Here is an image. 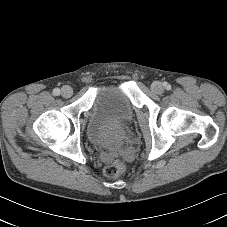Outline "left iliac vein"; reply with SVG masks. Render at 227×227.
Here are the masks:
<instances>
[{
	"instance_id": "left-iliac-vein-1",
	"label": "left iliac vein",
	"mask_w": 227,
	"mask_h": 227,
	"mask_svg": "<svg viewBox=\"0 0 227 227\" xmlns=\"http://www.w3.org/2000/svg\"><path fill=\"white\" fill-rule=\"evenodd\" d=\"M151 90L156 94H162L164 92V87L161 82L155 81L151 85Z\"/></svg>"
}]
</instances>
